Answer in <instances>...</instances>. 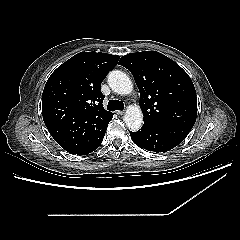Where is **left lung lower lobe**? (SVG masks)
Returning a JSON list of instances; mask_svg holds the SVG:
<instances>
[{
	"label": "left lung lower lobe",
	"instance_id": "1",
	"mask_svg": "<svg viewBox=\"0 0 240 240\" xmlns=\"http://www.w3.org/2000/svg\"><path fill=\"white\" fill-rule=\"evenodd\" d=\"M192 126H149L137 132H130L132 141L140 148L152 152H167L180 144L189 134Z\"/></svg>",
	"mask_w": 240,
	"mask_h": 240
}]
</instances>
